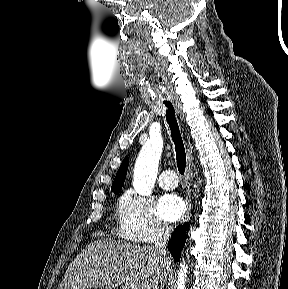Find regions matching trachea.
I'll return each mask as SVG.
<instances>
[{
  "mask_svg": "<svg viewBox=\"0 0 288 289\" xmlns=\"http://www.w3.org/2000/svg\"><path fill=\"white\" fill-rule=\"evenodd\" d=\"M158 96L160 98H164L165 96V88L162 86H158ZM164 105L167 107L166 110V119L171 129V137L175 145V152H176V160H177V167L181 174H184L185 167H186V153L183 144V140L181 137V133L179 130V126L177 120L175 118V110L173 105L168 101H163Z\"/></svg>",
  "mask_w": 288,
  "mask_h": 289,
  "instance_id": "3493384b",
  "label": "trachea"
}]
</instances>
